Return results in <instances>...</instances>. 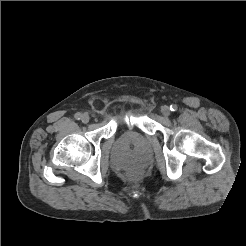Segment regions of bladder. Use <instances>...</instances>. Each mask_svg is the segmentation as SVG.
Here are the masks:
<instances>
[{
    "mask_svg": "<svg viewBox=\"0 0 246 246\" xmlns=\"http://www.w3.org/2000/svg\"><path fill=\"white\" fill-rule=\"evenodd\" d=\"M138 160L141 161V160H143V158H139Z\"/></svg>",
    "mask_w": 246,
    "mask_h": 246,
    "instance_id": "1",
    "label": "bladder"
}]
</instances>
